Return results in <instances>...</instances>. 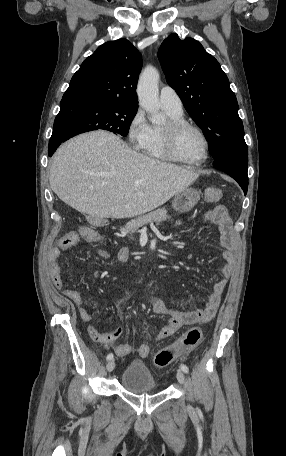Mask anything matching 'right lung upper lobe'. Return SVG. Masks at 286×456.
<instances>
[{
  "mask_svg": "<svg viewBox=\"0 0 286 456\" xmlns=\"http://www.w3.org/2000/svg\"><path fill=\"white\" fill-rule=\"evenodd\" d=\"M139 51L127 40L106 42L81 64L64 96L91 97L137 107Z\"/></svg>",
  "mask_w": 286,
  "mask_h": 456,
  "instance_id": "obj_1",
  "label": "right lung upper lobe"
}]
</instances>
